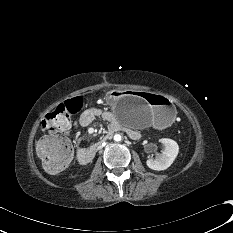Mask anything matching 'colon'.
Here are the masks:
<instances>
[{"instance_id":"colon-1","label":"colon","mask_w":233,"mask_h":233,"mask_svg":"<svg viewBox=\"0 0 233 233\" xmlns=\"http://www.w3.org/2000/svg\"><path fill=\"white\" fill-rule=\"evenodd\" d=\"M83 107L81 97H74L60 104L46 115L42 128L47 133L36 144L37 153L44 168L52 174L62 172L72 158V146L64 137L55 135L56 130L66 129L69 119Z\"/></svg>"}]
</instances>
